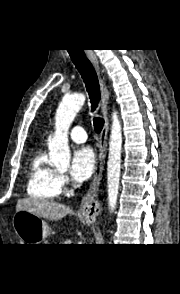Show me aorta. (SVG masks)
Listing matches in <instances>:
<instances>
[{
    "label": "aorta",
    "instance_id": "obj_1",
    "mask_svg": "<svg viewBox=\"0 0 180 294\" xmlns=\"http://www.w3.org/2000/svg\"><path fill=\"white\" fill-rule=\"evenodd\" d=\"M86 97L83 94L65 96L60 103L55 115V133L48 139L49 159L52 165L58 169L66 170L70 165V150L68 145L69 128L76 114L79 112ZM122 150V127L117 115H112V126L109 141V154L107 161V192L108 206L111 212L116 208Z\"/></svg>",
    "mask_w": 180,
    "mask_h": 294
}]
</instances>
